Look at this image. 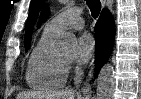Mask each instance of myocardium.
<instances>
[{
	"mask_svg": "<svg viewBox=\"0 0 141 99\" xmlns=\"http://www.w3.org/2000/svg\"><path fill=\"white\" fill-rule=\"evenodd\" d=\"M60 61H61L65 66H67L68 63H69V61H67V60H63V59H61V58H60Z\"/></svg>",
	"mask_w": 141,
	"mask_h": 99,
	"instance_id": "myocardium-1",
	"label": "myocardium"
}]
</instances>
